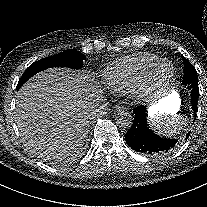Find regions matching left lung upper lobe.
Returning a JSON list of instances; mask_svg holds the SVG:
<instances>
[{"label": "left lung upper lobe", "mask_w": 207, "mask_h": 207, "mask_svg": "<svg viewBox=\"0 0 207 207\" xmlns=\"http://www.w3.org/2000/svg\"><path fill=\"white\" fill-rule=\"evenodd\" d=\"M183 63H184V76H183V84L188 85L190 83H197L198 76L195 71V68L191 63L182 55Z\"/></svg>", "instance_id": "1"}]
</instances>
